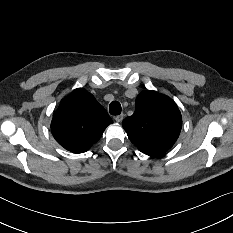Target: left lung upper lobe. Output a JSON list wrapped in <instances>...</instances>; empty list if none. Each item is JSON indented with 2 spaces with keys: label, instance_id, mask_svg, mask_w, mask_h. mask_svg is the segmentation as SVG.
<instances>
[{
  "label": "left lung upper lobe",
  "instance_id": "left-lung-upper-lobe-1",
  "mask_svg": "<svg viewBox=\"0 0 233 233\" xmlns=\"http://www.w3.org/2000/svg\"><path fill=\"white\" fill-rule=\"evenodd\" d=\"M122 126L131 142L147 155L158 156L170 149L182 127L181 113L175 102L155 91H142L135 112Z\"/></svg>",
  "mask_w": 233,
  "mask_h": 233
}]
</instances>
